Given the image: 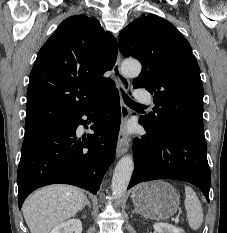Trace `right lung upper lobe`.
<instances>
[{"instance_id": "right-lung-upper-lobe-1", "label": "right lung upper lobe", "mask_w": 227, "mask_h": 233, "mask_svg": "<svg viewBox=\"0 0 227 233\" xmlns=\"http://www.w3.org/2000/svg\"><path fill=\"white\" fill-rule=\"evenodd\" d=\"M117 59V42L96 18L65 19L40 49L27 90L25 136L82 113L115 84L103 74Z\"/></svg>"}]
</instances>
